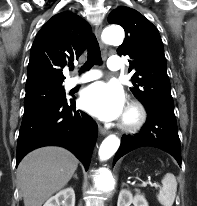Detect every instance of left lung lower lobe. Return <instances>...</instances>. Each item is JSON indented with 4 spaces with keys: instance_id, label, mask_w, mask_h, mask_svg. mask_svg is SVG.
Instances as JSON below:
<instances>
[{
    "instance_id": "1",
    "label": "left lung lower lobe",
    "mask_w": 197,
    "mask_h": 206,
    "mask_svg": "<svg viewBox=\"0 0 197 206\" xmlns=\"http://www.w3.org/2000/svg\"><path fill=\"white\" fill-rule=\"evenodd\" d=\"M147 120L139 133L124 135L113 164L126 153L143 146H152L171 154L181 166L180 140L174 111L165 108L147 109Z\"/></svg>"
}]
</instances>
